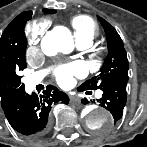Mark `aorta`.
<instances>
[{
	"instance_id": "1",
	"label": "aorta",
	"mask_w": 147,
	"mask_h": 147,
	"mask_svg": "<svg viewBox=\"0 0 147 147\" xmlns=\"http://www.w3.org/2000/svg\"><path fill=\"white\" fill-rule=\"evenodd\" d=\"M41 49L47 56H55L58 52L70 53L74 49L73 37L68 29L55 28L43 37ZM81 115L86 125L93 130L107 129L113 122L110 112L102 107L85 106Z\"/></svg>"
}]
</instances>
